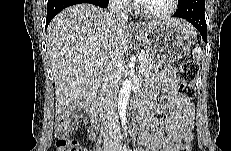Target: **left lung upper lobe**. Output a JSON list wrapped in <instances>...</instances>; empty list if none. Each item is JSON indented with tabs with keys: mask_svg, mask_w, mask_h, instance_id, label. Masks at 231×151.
Instances as JSON below:
<instances>
[{
	"mask_svg": "<svg viewBox=\"0 0 231 151\" xmlns=\"http://www.w3.org/2000/svg\"><path fill=\"white\" fill-rule=\"evenodd\" d=\"M182 1H183V0H180V1L178 2V4L180 5V4L182 3Z\"/></svg>",
	"mask_w": 231,
	"mask_h": 151,
	"instance_id": "obj_1",
	"label": "left lung upper lobe"
}]
</instances>
